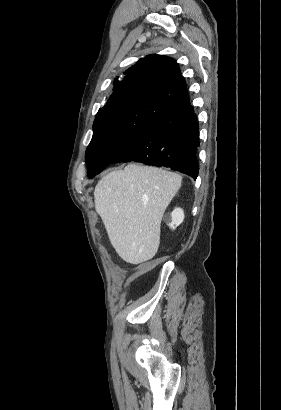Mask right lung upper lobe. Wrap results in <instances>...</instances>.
<instances>
[{
  "label": "right lung upper lobe",
  "mask_w": 281,
  "mask_h": 410,
  "mask_svg": "<svg viewBox=\"0 0 281 410\" xmlns=\"http://www.w3.org/2000/svg\"><path fill=\"white\" fill-rule=\"evenodd\" d=\"M123 81L115 79L113 94L103 108L144 103L163 109L188 96L186 82L178 64L169 57L149 55L124 73Z\"/></svg>",
  "instance_id": "right-lung-upper-lobe-1"
}]
</instances>
